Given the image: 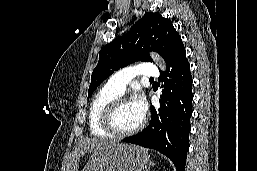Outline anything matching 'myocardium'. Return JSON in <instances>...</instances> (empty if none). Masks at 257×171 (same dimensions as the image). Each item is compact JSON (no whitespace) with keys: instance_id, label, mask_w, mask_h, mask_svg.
Segmentation results:
<instances>
[{"instance_id":"f54148a6","label":"myocardium","mask_w":257,"mask_h":171,"mask_svg":"<svg viewBox=\"0 0 257 171\" xmlns=\"http://www.w3.org/2000/svg\"><path fill=\"white\" fill-rule=\"evenodd\" d=\"M127 102H130L127 97L119 96L110 101L103 110L101 118L102 128L112 136L119 138L130 136L139 132L145 125V117H143L140 123L130 130L121 131L116 128L114 125L115 112L120 105Z\"/></svg>"}]
</instances>
